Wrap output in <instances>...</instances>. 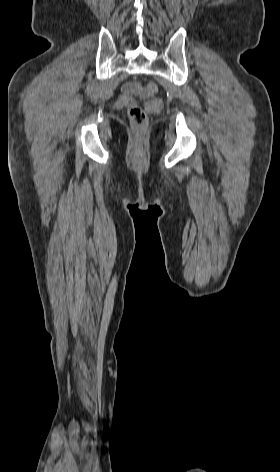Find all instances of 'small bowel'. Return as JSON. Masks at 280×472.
I'll return each mask as SVG.
<instances>
[{
    "label": "small bowel",
    "instance_id": "1",
    "mask_svg": "<svg viewBox=\"0 0 280 472\" xmlns=\"http://www.w3.org/2000/svg\"><path fill=\"white\" fill-rule=\"evenodd\" d=\"M134 88H135V86H133V85H128V86L125 87V92H126V93H129V92H131Z\"/></svg>",
    "mask_w": 280,
    "mask_h": 472
}]
</instances>
